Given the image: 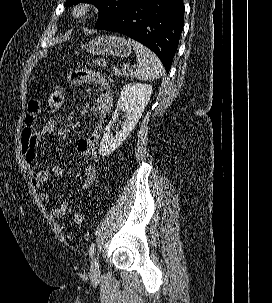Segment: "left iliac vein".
I'll return each mask as SVG.
<instances>
[{"instance_id": "left-iliac-vein-1", "label": "left iliac vein", "mask_w": 272, "mask_h": 303, "mask_svg": "<svg viewBox=\"0 0 272 303\" xmlns=\"http://www.w3.org/2000/svg\"><path fill=\"white\" fill-rule=\"evenodd\" d=\"M90 274L96 276L99 274V261L98 256H94L91 262Z\"/></svg>"}]
</instances>
